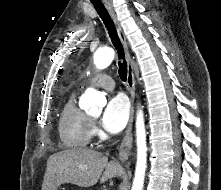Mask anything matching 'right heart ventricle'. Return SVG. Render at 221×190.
Wrapping results in <instances>:
<instances>
[{
  "label": "right heart ventricle",
  "mask_w": 221,
  "mask_h": 190,
  "mask_svg": "<svg viewBox=\"0 0 221 190\" xmlns=\"http://www.w3.org/2000/svg\"><path fill=\"white\" fill-rule=\"evenodd\" d=\"M58 130L62 144L68 149H83L92 138L91 121L76 105L75 93L68 97L63 106Z\"/></svg>",
  "instance_id": "1"
}]
</instances>
